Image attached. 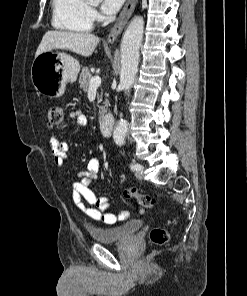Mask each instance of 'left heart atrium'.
Masks as SVG:
<instances>
[{
  "label": "left heart atrium",
  "mask_w": 247,
  "mask_h": 296,
  "mask_svg": "<svg viewBox=\"0 0 247 296\" xmlns=\"http://www.w3.org/2000/svg\"><path fill=\"white\" fill-rule=\"evenodd\" d=\"M125 0H102L101 9L105 14L116 13Z\"/></svg>",
  "instance_id": "1"
}]
</instances>
